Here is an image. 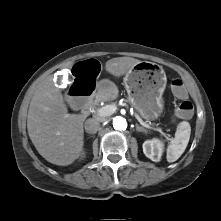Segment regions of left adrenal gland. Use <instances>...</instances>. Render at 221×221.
<instances>
[{"instance_id":"a2214340","label":"left adrenal gland","mask_w":221,"mask_h":221,"mask_svg":"<svg viewBox=\"0 0 221 221\" xmlns=\"http://www.w3.org/2000/svg\"><path fill=\"white\" fill-rule=\"evenodd\" d=\"M136 130H137L138 132H145V133H146V130H145L143 127H141V126H139V125H137V124H136Z\"/></svg>"}]
</instances>
